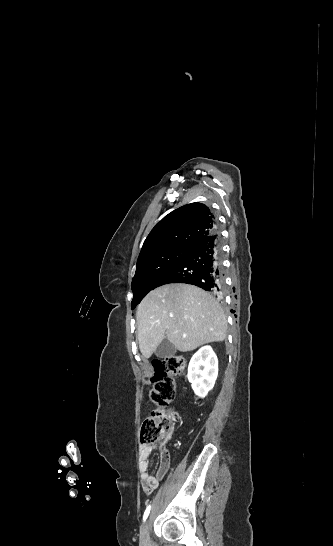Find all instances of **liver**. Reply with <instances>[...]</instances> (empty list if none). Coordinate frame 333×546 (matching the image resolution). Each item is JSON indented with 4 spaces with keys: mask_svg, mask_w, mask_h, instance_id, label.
Here are the masks:
<instances>
[{
    "mask_svg": "<svg viewBox=\"0 0 333 546\" xmlns=\"http://www.w3.org/2000/svg\"><path fill=\"white\" fill-rule=\"evenodd\" d=\"M136 318L145 358L165 339L187 352L226 338L227 319L219 302L194 285L171 283L152 290L138 305Z\"/></svg>",
    "mask_w": 333,
    "mask_h": 546,
    "instance_id": "1",
    "label": "liver"
}]
</instances>
